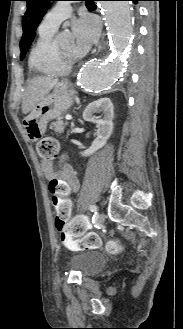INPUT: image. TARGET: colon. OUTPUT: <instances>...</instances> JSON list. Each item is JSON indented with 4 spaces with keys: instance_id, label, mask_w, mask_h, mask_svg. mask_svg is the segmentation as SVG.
<instances>
[{
    "instance_id": "1",
    "label": "colon",
    "mask_w": 183,
    "mask_h": 329,
    "mask_svg": "<svg viewBox=\"0 0 183 329\" xmlns=\"http://www.w3.org/2000/svg\"><path fill=\"white\" fill-rule=\"evenodd\" d=\"M38 155L46 160H54L59 154V144L53 137H44L37 143ZM66 187V186H65ZM70 218H56V227L60 233L61 239L79 238L77 247L83 249H93L100 246L101 241L95 233L85 234V231H92L93 225L86 224L83 217H79L71 222ZM120 249V243L113 240L108 244L110 252H117Z\"/></svg>"
}]
</instances>
